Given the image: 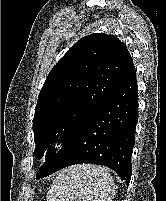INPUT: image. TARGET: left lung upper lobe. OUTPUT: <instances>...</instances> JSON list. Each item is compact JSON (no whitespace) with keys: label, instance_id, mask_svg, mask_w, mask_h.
I'll return each instance as SVG.
<instances>
[{"label":"left lung upper lobe","instance_id":"obj_1","mask_svg":"<svg viewBox=\"0 0 166 201\" xmlns=\"http://www.w3.org/2000/svg\"><path fill=\"white\" fill-rule=\"evenodd\" d=\"M133 65L116 36L91 34L78 40L50 71L37 100L34 155L64 143L95 111ZM57 135V136H56ZM56 152L50 146L45 159Z\"/></svg>","mask_w":166,"mask_h":201}]
</instances>
